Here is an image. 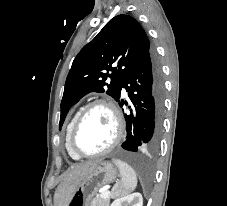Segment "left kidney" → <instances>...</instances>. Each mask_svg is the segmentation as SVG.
I'll return each instance as SVG.
<instances>
[{
    "mask_svg": "<svg viewBox=\"0 0 227 206\" xmlns=\"http://www.w3.org/2000/svg\"><path fill=\"white\" fill-rule=\"evenodd\" d=\"M111 206H143V198L140 193H133L115 199Z\"/></svg>",
    "mask_w": 227,
    "mask_h": 206,
    "instance_id": "left-kidney-1",
    "label": "left kidney"
}]
</instances>
